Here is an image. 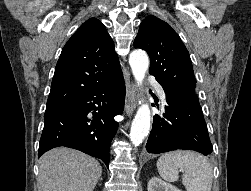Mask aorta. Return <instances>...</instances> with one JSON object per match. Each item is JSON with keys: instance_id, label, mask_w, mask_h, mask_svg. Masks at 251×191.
<instances>
[{"instance_id": "1", "label": "aorta", "mask_w": 251, "mask_h": 191, "mask_svg": "<svg viewBox=\"0 0 251 191\" xmlns=\"http://www.w3.org/2000/svg\"><path fill=\"white\" fill-rule=\"evenodd\" d=\"M132 74L138 84L142 86L145 74L149 68V60L144 50H134L129 56ZM150 107L148 103H141L136 111L130 129V139L134 145H139L145 139L150 129Z\"/></svg>"}]
</instances>
